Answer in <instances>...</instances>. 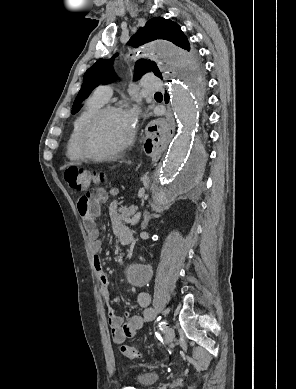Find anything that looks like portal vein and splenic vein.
<instances>
[{"mask_svg": "<svg viewBox=\"0 0 296 389\" xmlns=\"http://www.w3.org/2000/svg\"><path fill=\"white\" fill-rule=\"evenodd\" d=\"M140 217H141V213L138 212L137 214L134 215V217L132 218L131 220V225H135L138 223V221L140 220Z\"/></svg>", "mask_w": 296, "mask_h": 389, "instance_id": "portal-vein-and-splenic-vein-1", "label": "portal vein and splenic vein"}]
</instances>
